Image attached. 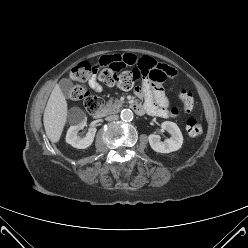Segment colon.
<instances>
[{"instance_id":"5ec220e1","label":"colon","mask_w":248,"mask_h":248,"mask_svg":"<svg viewBox=\"0 0 248 248\" xmlns=\"http://www.w3.org/2000/svg\"><path fill=\"white\" fill-rule=\"evenodd\" d=\"M92 76H97L99 81L105 85H116L125 90L133 88L144 80L160 83L165 79V77L158 79L156 73L153 71L147 73L139 69H133L131 71L119 73L110 66L99 69L98 65L90 63L79 64L74 67L70 73L71 80L80 82L87 81ZM179 97L184 111H191L194 106L192 93L188 90H182ZM70 99L73 101H83L86 110L90 114H95L100 111L103 105L101 98L92 95L82 86H75L72 88L70 91ZM175 113L176 112L173 111V114ZM186 130L190 136L200 135L203 130L200 120L194 117L189 118L186 122Z\"/></svg>"}]
</instances>
